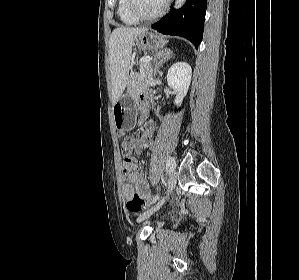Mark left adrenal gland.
Returning <instances> with one entry per match:
<instances>
[{
    "label": "left adrenal gland",
    "mask_w": 299,
    "mask_h": 280,
    "mask_svg": "<svg viewBox=\"0 0 299 280\" xmlns=\"http://www.w3.org/2000/svg\"><path fill=\"white\" fill-rule=\"evenodd\" d=\"M171 58H173V53L170 49L160 51L155 57L154 75H156L159 71V68Z\"/></svg>",
    "instance_id": "a2214340"
}]
</instances>
